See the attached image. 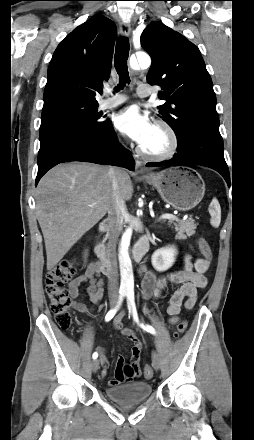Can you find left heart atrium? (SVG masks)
<instances>
[{
  "instance_id": "obj_1",
  "label": "left heart atrium",
  "mask_w": 254,
  "mask_h": 440,
  "mask_svg": "<svg viewBox=\"0 0 254 440\" xmlns=\"http://www.w3.org/2000/svg\"><path fill=\"white\" fill-rule=\"evenodd\" d=\"M113 124L119 132L141 147L149 139L155 127L150 118L136 106L117 113Z\"/></svg>"
}]
</instances>
